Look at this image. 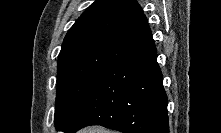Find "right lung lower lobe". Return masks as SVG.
<instances>
[{
  "mask_svg": "<svg viewBox=\"0 0 221 133\" xmlns=\"http://www.w3.org/2000/svg\"><path fill=\"white\" fill-rule=\"evenodd\" d=\"M89 125L124 133H169L167 95L155 47L106 69L65 133Z\"/></svg>",
  "mask_w": 221,
  "mask_h": 133,
  "instance_id": "obj_1",
  "label": "right lung lower lobe"
}]
</instances>
